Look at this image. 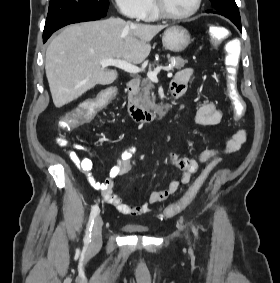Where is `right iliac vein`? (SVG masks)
I'll return each mask as SVG.
<instances>
[{
	"instance_id": "obj_1",
	"label": "right iliac vein",
	"mask_w": 280,
	"mask_h": 283,
	"mask_svg": "<svg viewBox=\"0 0 280 283\" xmlns=\"http://www.w3.org/2000/svg\"><path fill=\"white\" fill-rule=\"evenodd\" d=\"M102 225L103 221L101 216H97L94 220L92 237H91V249H98L102 244Z\"/></svg>"
}]
</instances>
